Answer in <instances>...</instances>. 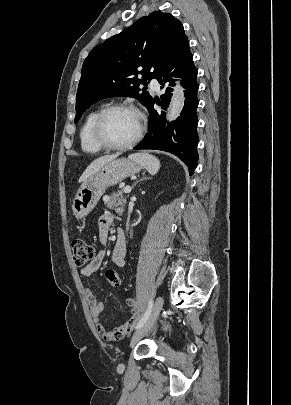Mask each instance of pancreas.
<instances>
[{
    "instance_id": "cf45deb5",
    "label": "pancreas",
    "mask_w": 291,
    "mask_h": 405,
    "mask_svg": "<svg viewBox=\"0 0 291 405\" xmlns=\"http://www.w3.org/2000/svg\"><path fill=\"white\" fill-rule=\"evenodd\" d=\"M127 202V198L123 196L122 191L111 194V196L104 197V203L107 208L114 209L118 206H124Z\"/></svg>"
}]
</instances>
